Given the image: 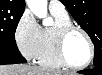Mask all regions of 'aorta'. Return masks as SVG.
I'll return each mask as SVG.
<instances>
[{"mask_svg":"<svg viewBox=\"0 0 102 75\" xmlns=\"http://www.w3.org/2000/svg\"><path fill=\"white\" fill-rule=\"evenodd\" d=\"M27 5L35 16L43 19V25L50 26L53 23V19L47 17V0H27Z\"/></svg>","mask_w":102,"mask_h":75,"instance_id":"762f6f07","label":"aorta"}]
</instances>
